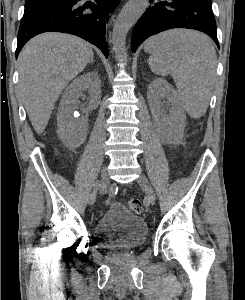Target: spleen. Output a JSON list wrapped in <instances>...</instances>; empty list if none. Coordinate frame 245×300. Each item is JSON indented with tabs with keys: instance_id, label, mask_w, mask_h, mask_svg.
<instances>
[{
	"instance_id": "spleen-1",
	"label": "spleen",
	"mask_w": 245,
	"mask_h": 300,
	"mask_svg": "<svg viewBox=\"0 0 245 300\" xmlns=\"http://www.w3.org/2000/svg\"><path fill=\"white\" fill-rule=\"evenodd\" d=\"M144 50L151 53L152 72L170 74L186 111L193 118L201 117L211 97L217 58L209 39L196 31L173 29L150 37Z\"/></svg>"
}]
</instances>
